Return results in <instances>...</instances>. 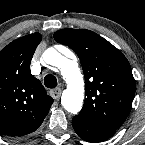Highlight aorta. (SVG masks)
<instances>
[{
	"mask_svg": "<svg viewBox=\"0 0 145 145\" xmlns=\"http://www.w3.org/2000/svg\"><path fill=\"white\" fill-rule=\"evenodd\" d=\"M44 59L47 64L61 70L67 82V88L61 97V104L68 112L77 114L82 108L84 99V83L79 68L54 48L45 51Z\"/></svg>",
	"mask_w": 145,
	"mask_h": 145,
	"instance_id": "762f6f07",
	"label": "aorta"
}]
</instances>
